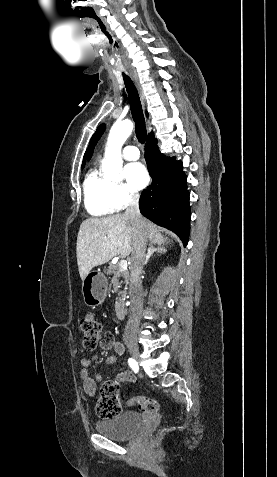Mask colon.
Instances as JSON below:
<instances>
[{
    "label": "colon",
    "instance_id": "1",
    "mask_svg": "<svg viewBox=\"0 0 277 477\" xmlns=\"http://www.w3.org/2000/svg\"><path fill=\"white\" fill-rule=\"evenodd\" d=\"M80 330L84 348L86 350H94L102 333L100 322L95 316L87 314L80 320ZM131 400L137 405L139 410L145 413L156 412L159 408L158 402L149 397L139 396L136 399L131 398ZM96 410L98 415L103 418L112 417L121 413L122 401L119 397V386L117 383L112 381L104 383L101 389V399L97 404Z\"/></svg>",
    "mask_w": 277,
    "mask_h": 477
}]
</instances>
